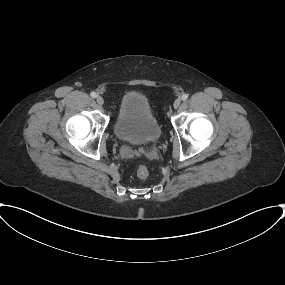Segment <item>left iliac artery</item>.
Returning a JSON list of instances; mask_svg holds the SVG:
<instances>
[{
	"label": "left iliac artery",
	"instance_id": "1",
	"mask_svg": "<svg viewBox=\"0 0 285 285\" xmlns=\"http://www.w3.org/2000/svg\"><path fill=\"white\" fill-rule=\"evenodd\" d=\"M181 99H182L183 101L187 100V99H188V95H187V94H183V95L181 96Z\"/></svg>",
	"mask_w": 285,
	"mask_h": 285
}]
</instances>
